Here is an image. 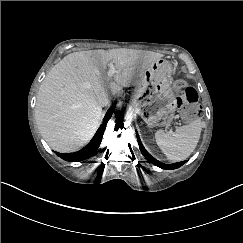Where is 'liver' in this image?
I'll return each mask as SVG.
<instances>
[{"instance_id": "liver-1", "label": "liver", "mask_w": 243, "mask_h": 243, "mask_svg": "<svg viewBox=\"0 0 243 243\" xmlns=\"http://www.w3.org/2000/svg\"><path fill=\"white\" fill-rule=\"evenodd\" d=\"M162 54L135 50L111 49L73 52L57 63L42 81L35 106L37 127L49 146L72 152L93 137L102 116L96 96L108 87L117 93ZM108 62L116 73L106 75Z\"/></svg>"}]
</instances>
